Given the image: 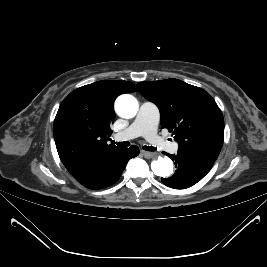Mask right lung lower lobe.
Returning a JSON list of instances; mask_svg holds the SVG:
<instances>
[{
    "mask_svg": "<svg viewBox=\"0 0 267 267\" xmlns=\"http://www.w3.org/2000/svg\"><path fill=\"white\" fill-rule=\"evenodd\" d=\"M138 154L137 146L102 154L73 177L89 189L106 188L119 179L127 162Z\"/></svg>",
    "mask_w": 267,
    "mask_h": 267,
    "instance_id": "obj_1",
    "label": "right lung lower lobe"
}]
</instances>
